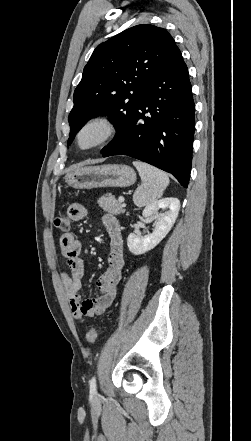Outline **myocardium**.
<instances>
[{"mask_svg":"<svg viewBox=\"0 0 251 441\" xmlns=\"http://www.w3.org/2000/svg\"><path fill=\"white\" fill-rule=\"evenodd\" d=\"M92 127L99 128L100 135L91 145L84 146L81 143V137L86 130ZM117 133H118L117 124L109 114L106 113L94 114L88 117L78 128L75 135V143L80 150L91 151L111 141L117 135Z\"/></svg>","mask_w":251,"mask_h":441,"instance_id":"f54148a6","label":"myocardium"}]
</instances>
